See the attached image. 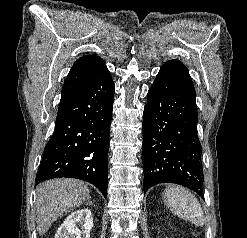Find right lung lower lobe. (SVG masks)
I'll list each match as a JSON object with an SVG mask.
<instances>
[{"label": "right lung lower lobe", "instance_id": "1", "mask_svg": "<svg viewBox=\"0 0 247 238\" xmlns=\"http://www.w3.org/2000/svg\"><path fill=\"white\" fill-rule=\"evenodd\" d=\"M114 83L107 67L60 101L36 184L57 177L95 185L106 198Z\"/></svg>", "mask_w": 247, "mask_h": 238}]
</instances>
